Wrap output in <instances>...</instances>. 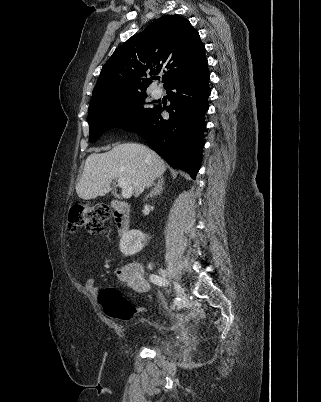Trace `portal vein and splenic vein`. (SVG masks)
Masks as SVG:
<instances>
[{"mask_svg": "<svg viewBox=\"0 0 321 402\" xmlns=\"http://www.w3.org/2000/svg\"><path fill=\"white\" fill-rule=\"evenodd\" d=\"M118 186L122 189V196L124 198H130L133 193V187L128 179L119 178Z\"/></svg>", "mask_w": 321, "mask_h": 402, "instance_id": "obj_1", "label": "portal vein and splenic vein"}]
</instances>
